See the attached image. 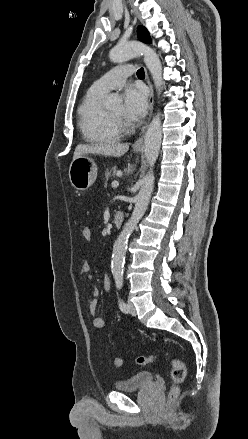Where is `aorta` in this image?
<instances>
[{
	"mask_svg": "<svg viewBox=\"0 0 248 439\" xmlns=\"http://www.w3.org/2000/svg\"><path fill=\"white\" fill-rule=\"evenodd\" d=\"M138 55L144 56V62L149 69L155 87L160 94L163 85L162 64L157 53L150 47L138 41H131L118 44L110 51L109 57L114 63H121L134 58ZM115 101V97H109L106 101L107 106H111ZM162 139V126L160 114L158 113L149 124L145 139L144 152L150 169L143 178L141 188L135 197V206L128 222L124 225L121 233L117 237L113 245V254L111 261V270L114 276H121L125 262L128 239L136 228L138 222L147 210L153 188L154 174L153 166L158 158Z\"/></svg>",
	"mask_w": 248,
	"mask_h": 439,
	"instance_id": "1",
	"label": "aorta"
}]
</instances>
